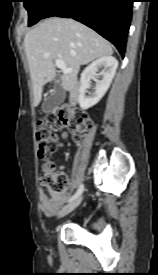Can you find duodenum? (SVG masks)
Masks as SVG:
<instances>
[{"label": "duodenum", "instance_id": "obj_1", "mask_svg": "<svg viewBox=\"0 0 158 275\" xmlns=\"http://www.w3.org/2000/svg\"><path fill=\"white\" fill-rule=\"evenodd\" d=\"M78 101V93H77V90L74 88L72 89L70 95H69V102L71 104H76Z\"/></svg>", "mask_w": 158, "mask_h": 275}]
</instances>
